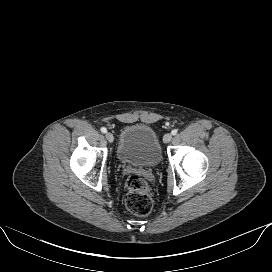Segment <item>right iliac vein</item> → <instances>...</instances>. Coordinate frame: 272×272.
<instances>
[{"instance_id":"obj_1","label":"right iliac vein","mask_w":272,"mask_h":272,"mask_svg":"<svg viewBox=\"0 0 272 272\" xmlns=\"http://www.w3.org/2000/svg\"><path fill=\"white\" fill-rule=\"evenodd\" d=\"M106 139L108 140V142H113L114 141V136H113V134L112 133H110V132H107L106 133Z\"/></svg>"}]
</instances>
